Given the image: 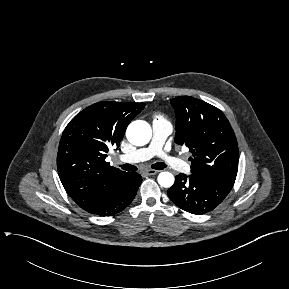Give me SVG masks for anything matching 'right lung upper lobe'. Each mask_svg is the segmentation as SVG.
I'll return each instance as SVG.
<instances>
[{"mask_svg": "<svg viewBox=\"0 0 289 289\" xmlns=\"http://www.w3.org/2000/svg\"><path fill=\"white\" fill-rule=\"evenodd\" d=\"M145 103L98 102L78 113L63 131L58 155L59 178L84 210L108 198L128 172L105 161L109 147H119L131 120Z\"/></svg>", "mask_w": 289, "mask_h": 289, "instance_id": "1", "label": "right lung upper lobe"}]
</instances>
